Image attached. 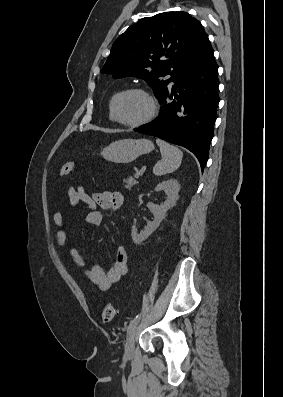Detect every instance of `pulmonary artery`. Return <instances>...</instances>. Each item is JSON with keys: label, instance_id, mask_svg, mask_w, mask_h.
I'll list each match as a JSON object with an SVG mask.
<instances>
[{"label": "pulmonary artery", "instance_id": "e3ab8cb5", "mask_svg": "<svg viewBox=\"0 0 283 397\" xmlns=\"http://www.w3.org/2000/svg\"><path fill=\"white\" fill-rule=\"evenodd\" d=\"M169 77H171V76L169 75ZM171 84L174 85V81H171Z\"/></svg>", "mask_w": 283, "mask_h": 397}]
</instances>
